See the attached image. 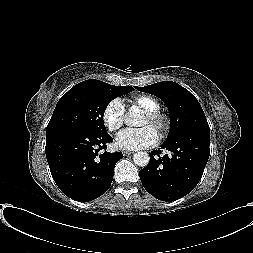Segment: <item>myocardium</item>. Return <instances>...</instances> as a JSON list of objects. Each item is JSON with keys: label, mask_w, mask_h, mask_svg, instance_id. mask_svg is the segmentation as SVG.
Segmentation results:
<instances>
[{"label": "myocardium", "mask_w": 253, "mask_h": 253, "mask_svg": "<svg viewBox=\"0 0 253 253\" xmlns=\"http://www.w3.org/2000/svg\"><path fill=\"white\" fill-rule=\"evenodd\" d=\"M145 116L149 118L160 137H163L167 134L170 128V119L168 115L160 111H146Z\"/></svg>", "instance_id": "1"}]
</instances>
